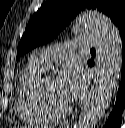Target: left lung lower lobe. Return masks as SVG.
Masks as SVG:
<instances>
[{"mask_svg":"<svg viewBox=\"0 0 125 128\" xmlns=\"http://www.w3.org/2000/svg\"><path fill=\"white\" fill-rule=\"evenodd\" d=\"M118 32L122 40V73L115 106L103 128H120L121 115L125 108V22L118 27ZM89 66L94 65V60L88 61Z\"/></svg>","mask_w":125,"mask_h":128,"instance_id":"1","label":"left lung lower lobe"}]
</instances>
